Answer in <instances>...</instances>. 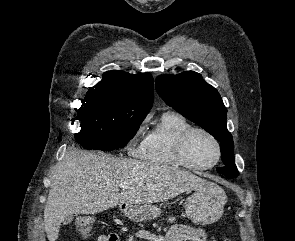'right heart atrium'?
Wrapping results in <instances>:
<instances>
[{
	"label": "right heart atrium",
	"instance_id": "right-heart-atrium-1",
	"mask_svg": "<svg viewBox=\"0 0 295 241\" xmlns=\"http://www.w3.org/2000/svg\"><path fill=\"white\" fill-rule=\"evenodd\" d=\"M147 122H148V117H145L144 119L141 120V122L139 123V125L137 126V128L135 130L134 138H136L144 133Z\"/></svg>",
	"mask_w": 295,
	"mask_h": 241
}]
</instances>
